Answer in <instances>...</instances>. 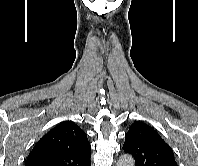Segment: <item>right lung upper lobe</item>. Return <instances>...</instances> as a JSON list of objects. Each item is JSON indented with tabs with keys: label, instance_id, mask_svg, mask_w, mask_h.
<instances>
[{
	"label": "right lung upper lobe",
	"instance_id": "obj_1",
	"mask_svg": "<svg viewBox=\"0 0 198 166\" xmlns=\"http://www.w3.org/2000/svg\"><path fill=\"white\" fill-rule=\"evenodd\" d=\"M87 134L73 122L51 129L34 146L25 166H91Z\"/></svg>",
	"mask_w": 198,
	"mask_h": 166
}]
</instances>
